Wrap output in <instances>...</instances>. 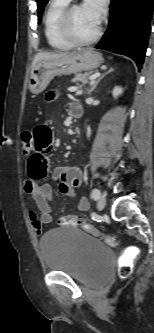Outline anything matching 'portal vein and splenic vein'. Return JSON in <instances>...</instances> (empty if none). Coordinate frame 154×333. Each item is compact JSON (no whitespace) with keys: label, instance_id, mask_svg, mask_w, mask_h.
Listing matches in <instances>:
<instances>
[{"label":"portal vein and splenic vein","instance_id":"1","mask_svg":"<svg viewBox=\"0 0 154 333\" xmlns=\"http://www.w3.org/2000/svg\"><path fill=\"white\" fill-rule=\"evenodd\" d=\"M98 76H100V73H96V74L92 75V76L90 77L91 82H93L94 79L97 78ZM68 90H69L70 92H76V94H81V92H82L81 90H78L77 87H71V88H68Z\"/></svg>","mask_w":154,"mask_h":333}]
</instances>
